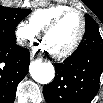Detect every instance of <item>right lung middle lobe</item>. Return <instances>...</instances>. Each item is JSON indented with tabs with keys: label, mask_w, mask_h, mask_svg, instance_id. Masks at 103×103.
Masks as SVG:
<instances>
[{
	"label": "right lung middle lobe",
	"mask_w": 103,
	"mask_h": 103,
	"mask_svg": "<svg viewBox=\"0 0 103 103\" xmlns=\"http://www.w3.org/2000/svg\"><path fill=\"white\" fill-rule=\"evenodd\" d=\"M31 10L0 7V39L16 41L15 29Z\"/></svg>",
	"instance_id": "1"
}]
</instances>
